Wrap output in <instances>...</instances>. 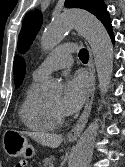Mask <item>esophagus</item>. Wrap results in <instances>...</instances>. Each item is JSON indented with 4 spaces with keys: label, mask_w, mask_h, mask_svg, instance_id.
Instances as JSON below:
<instances>
[{
    "label": "esophagus",
    "mask_w": 125,
    "mask_h": 167,
    "mask_svg": "<svg viewBox=\"0 0 125 167\" xmlns=\"http://www.w3.org/2000/svg\"><path fill=\"white\" fill-rule=\"evenodd\" d=\"M89 56L90 57H89L88 68H89L90 86L87 94V100L82 115L80 116L77 124L67 133L68 140H76L80 136L90 115L95 94V86H96L94 58L90 48H89Z\"/></svg>",
    "instance_id": "34e87169"
}]
</instances>
